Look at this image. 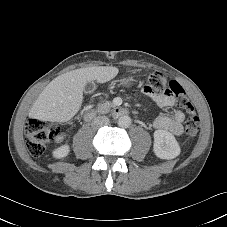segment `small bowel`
<instances>
[{
	"mask_svg": "<svg viewBox=\"0 0 227 227\" xmlns=\"http://www.w3.org/2000/svg\"><path fill=\"white\" fill-rule=\"evenodd\" d=\"M141 94L148 99H153L159 107L173 109L172 116H158L153 122L154 128L169 131L177 136L181 135L183 132L185 115L176 107V101L172 96V91L170 89H163L161 91V96H157V90L155 88H152L150 85H143L141 87ZM61 139L62 136L58 138L59 141Z\"/></svg>",
	"mask_w": 227,
	"mask_h": 227,
	"instance_id": "small-bowel-1",
	"label": "small bowel"
}]
</instances>
